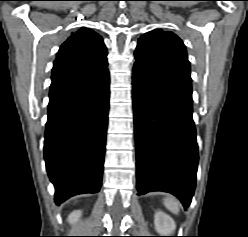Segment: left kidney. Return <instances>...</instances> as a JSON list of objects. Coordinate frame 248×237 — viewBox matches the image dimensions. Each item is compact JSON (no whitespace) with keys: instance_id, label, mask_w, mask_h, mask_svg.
<instances>
[{"instance_id":"1","label":"left kidney","mask_w":248,"mask_h":237,"mask_svg":"<svg viewBox=\"0 0 248 237\" xmlns=\"http://www.w3.org/2000/svg\"><path fill=\"white\" fill-rule=\"evenodd\" d=\"M154 225L156 231L161 236H170L176 229L174 220L162 211H157L154 216Z\"/></svg>"}]
</instances>
